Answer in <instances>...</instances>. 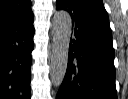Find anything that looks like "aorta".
Returning <instances> with one entry per match:
<instances>
[{
	"instance_id": "obj_1",
	"label": "aorta",
	"mask_w": 128,
	"mask_h": 99,
	"mask_svg": "<svg viewBox=\"0 0 128 99\" xmlns=\"http://www.w3.org/2000/svg\"><path fill=\"white\" fill-rule=\"evenodd\" d=\"M72 19L67 11L60 10L53 17V43L51 55V82L59 87L64 79L67 64Z\"/></svg>"
}]
</instances>
